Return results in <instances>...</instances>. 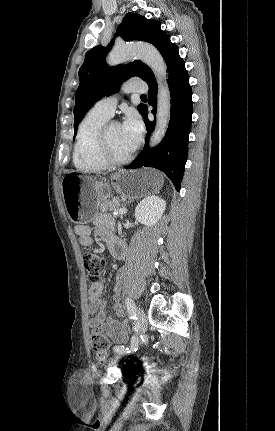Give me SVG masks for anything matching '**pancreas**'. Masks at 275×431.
<instances>
[{"instance_id": "pancreas-1", "label": "pancreas", "mask_w": 275, "mask_h": 431, "mask_svg": "<svg viewBox=\"0 0 275 431\" xmlns=\"http://www.w3.org/2000/svg\"><path fill=\"white\" fill-rule=\"evenodd\" d=\"M98 206L101 213L107 214V215H110V213H107L108 211L118 212L121 208V204L118 199L116 198L109 199L106 197H103L99 200Z\"/></svg>"}]
</instances>
